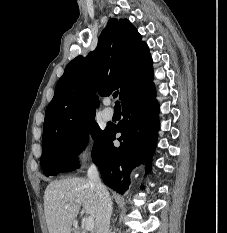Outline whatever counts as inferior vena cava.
I'll return each instance as SVG.
<instances>
[{"instance_id":"602c4592","label":"inferior vena cava","mask_w":227,"mask_h":233,"mask_svg":"<svg viewBox=\"0 0 227 233\" xmlns=\"http://www.w3.org/2000/svg\"><path fill=\"white\" fill-rule=\"evenodd\" d=\"M87 174L98 199L95 233H109L110 218L112 214V201L109 192L106 186L102 184L98 168L95 164H92L89 167Z\"/></svg>"}]
</instances>
